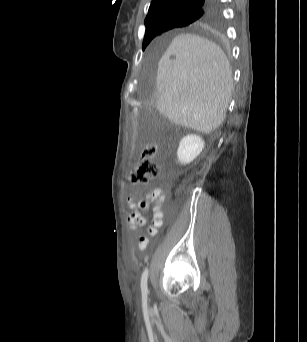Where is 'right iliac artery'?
I'll use <instances>...</instances> for the list:
<instances>
[{
	"label": "right iliac artery",
	"mask_w": 307,
	"mask_h": 342,
	"mask_svg": "<svg viewBox=\"0 0 307 342\" xmlns=\"http://www.w3.org/2000/svg\"><path fill=\"white\" fill-rule=\"evenodd\" d=\"M147 278H148V269H145L141 277V291H142V296L144 298V303H146L145 299L148 293Z\"/></svg>",
	"instance_id": "1"
}]
</instances>
